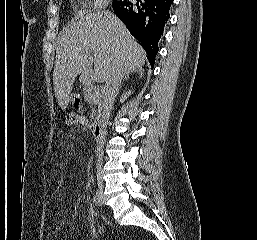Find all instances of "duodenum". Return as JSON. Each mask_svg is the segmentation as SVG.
Returning <instances> with one entry per match:
<instances>
[{
    "mask_svg": "<svg viewBox=\"0 0 257 240\" xmlns=\"http://www.w3.org/2000/svg\"><path fill=\"white\" fill-rule=\"evenodd\" d=\"M91 127H92L93 137H94L95 141L97 142V144L100 145L103 142V139L105 136V127H104L102 120L100 118H96L92 122Z\"/></svg>",
    "mask_w": 257,
    "mask_h": 240,
    "instance_id": "410a0bca",
    "label": "duodenum"
}]
</instances>
